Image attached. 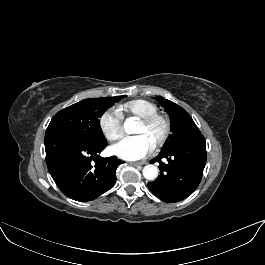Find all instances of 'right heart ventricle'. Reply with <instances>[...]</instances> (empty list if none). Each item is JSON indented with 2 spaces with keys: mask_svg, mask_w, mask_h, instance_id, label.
Returning <instances> with one entry per match:
<instances>
[{
  "mask_svg": "<svg viewBox=\"0 0 265 265\" xmlns=\"http://www.w3.org/2000/svg\"><path fill=\"white\" fill-rule=\"evenodd\" d=\"M118 111L121 115L129 114L138 118L158 112V107L151 101L145 99H134L119 106Z\"/></svg>",
  "mask_w": 265,
  "mask_h": 265,
  "instance_id": "e07e8e85",
  "label": "right heart ventricle"
}]
</instances>
